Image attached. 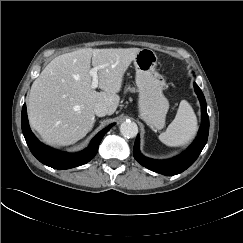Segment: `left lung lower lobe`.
Returning a JSON list of instances; mask_svg holds the SVG:
<instances>
[{"mask_svg":"<svg viewBox=\"0 0 243 243\" xmlns=\"http://www.w3.org/2000/svg\"><path fill=\"white\" fill-rule=\"evenodd\" d=\"M194 88L200 100L201 111H202V124L200 126L199 133L195 141L181 155L169 160L158 161V160L146 158L140 153L139 137H137L134 144L133 155L134 158L142 166L163 175L173 176L186 170L198 158L199 154L201 153L208 139L209 118L207 114V105H206L204 95L196 83H194Z\"/></svg>","mask_w":243,"mask_h":243,"instance_id":"0a47b994","label":"left lung lower lobe"}]
</instances>
